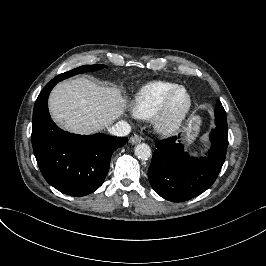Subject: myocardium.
Listing matches in <instances>:
<instances>
[{
	"label": "myocardium",
	"mask_w": 266,
	"mask_h": 266,
	"mask_svg": "<svg viewBox=\"0 0 266 266\" xmlns=\"http://www.w3.org/2000/svg\"><path fill=\"white\" fill-rule=\"evenodd\" d=\"M180 90H184L188 96V107L180 119L171 122L168 119L170 106L174 97ZM194 106L195 101L191 90L184 85L177 86L164 98L158 109L153 114L151 120L153 130L157 134L165 137H171L175 135L185 126V124L189 120L190 116L193 113Z\"/></svg>",
	"instance_id": "myocardium-1"
}]
</instances>
